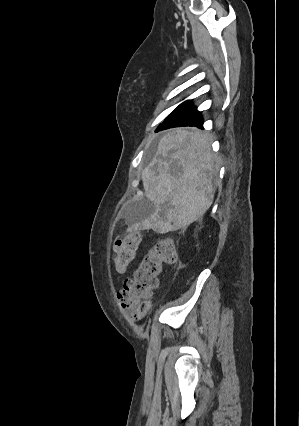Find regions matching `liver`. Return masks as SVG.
Segmentation results:
<instances>
[{
  "label": "liver",
  "instance_id": "1",
  "mask_svg": "<svg viewBox=\"0 0 299 426\" xmlns=\"http://www.w3.org/2000/svg\"><path fill=\"white\" fill-rule=\"evenodd\" d=\"M211 137L199 130L177 128L164 134L155 156L142 172L146 198L154 212L131 229L167 233L198 220L212 205L218 158L210 150ZM181 168L174 176L171 166Z\"/></svg>",
  "mask_w": 299,
  "mask_h": 426
}]
</instances>
